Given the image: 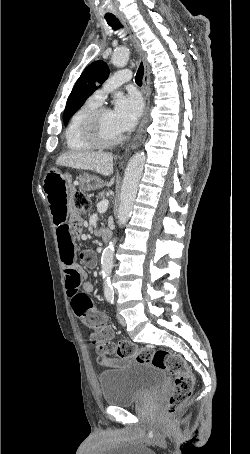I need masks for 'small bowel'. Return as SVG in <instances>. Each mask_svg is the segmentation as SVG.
<instances>
[{
    "instance_id": "small-bowel-1",
    "label": "small bowel",
    "mask_w": 250,
    "mask_h": 454,
    "mask_svg": "<svg viewBox=\"0 0 250 454\" xmlns=\"http://www.w3.org/2000/svg\"><path fill=\"white\" fill-rule=\"evenodd\" d=\"M75 186L70 175L50 173L44 183V192L47 196L56 226L57 240L61 261L63 265L64 278L68 296L71 301L75 315L87 325L92 314H102L92 304L89 294L93 291V283L86 280L85 271L78 263L75 254V240L81 234L83 220L80 217H73L67 220L68 202ZM87 265H94L95 254L85 250L80 255Z\"/></svg>"
}]
</instances>
